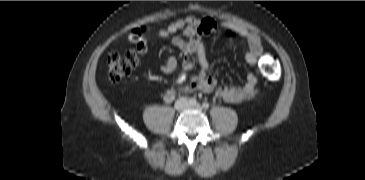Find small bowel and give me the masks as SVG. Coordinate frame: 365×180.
<instances>
[{"mask_svg":"<svg viewBox=\"0 0 365 180\" xmlns=\"http://www.w3.org/2000/svg\"><path fill=\"white\" fill-rule=\"evenodd\" d=\"M217 26V23L210 18L199 19L194 16L179 18L166 28L147 35L138 43L137 49L141 55H145L148 50L147 43L151 38L166 39L173 36L172 43L182 51L185 57L178 83L180 85L185 83L184 87L187 91L209 92L215 89L216 95L228 103L251 99L259 90L258 70L249 73L242 84L219 87H217L219 73H209V62L206 58L203 40L207 35L213 33ZM226 28L233 37H240L246 41L245 60L249 65L257 67L259 57L263 53L261 37L238 25L229 24L226 25ZM177 32L179 33L176 34ZM178 68V60L173 55L168 56L161 66L165 73H174ZM174 96L175 92L168 90L164 94V101L170 102Z\"/></svg>","mask_w":365,"mask_h":180,"instance_id":"small-bowel-1","label":"small bowel"}]
</instances>
